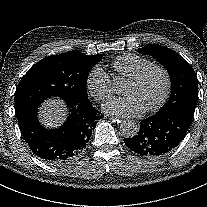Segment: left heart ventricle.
I'll return each mask as SVG.
<instances>
[{"label": "left heart ventricle", "mask_w": 207, "mask_h": 207, "mask_svg": "<svg viewBox=\"0 0 207 207\" xmlns=\"http://www.w3.org/2000/svg\"><path fill=\"white\" fill-rule=\"evenodd\" d=\"M165 78L158 70L149 72L138 84L126 83L124 94L133 97L142 111L154 106L162 97Z\"/></svg>", "instance_id": "left-heart-ventricle-1"}]
</instances>
